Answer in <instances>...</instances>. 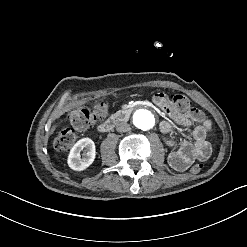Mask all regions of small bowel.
Listing matches in <instances>:
<instances>
[{
  "instance_id": "obj_1",
  "label": "small bowel",
  "mask_w": 247,
  "mask_h": 247,
  "mask_svg": "<svg viewBox=\"0 0 247 247\" xmlns=\"http://www.w3.org/2000/svg\"><path fill=\"white\" fill-rule=\"evenodd\" d=\"M155 103L166 112L171 120L160 123V132L166 145L172 149L168 163L177 171L186 170L195 160L206 161L211 153V145L206 140L211 123L204 113L196 108L180 110L163 94H157ZM184 131L185 139L180 143L168 137L175 131ZM190 149V152H186Z\"/></svg>"
}]
</instances>
